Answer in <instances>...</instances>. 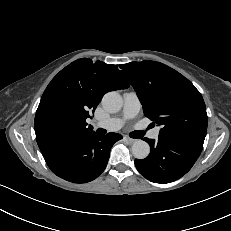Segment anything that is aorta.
I'll list each match as a JSON object with an SVG mask.
<instances>
[{
  "mask_svg": "<svg viewBox=\"0 0 231 231\" xmlns=\"http://www.w3.org/2000/svg\"><path fill=\"white\" fill-rule=\"evenodd\" d=\"M122 104V97L114 91L106 93L102 99L103 108L110 113L118 112ZM132 153L137 159H145L150 153L149 144L143 140H136L132 145Z\"/></svg>",
  "mask_w": 231,
  "mask_h": 231,
  "instance_id": "aorta-1",
  "label": "aorta"
}]
</instances>
